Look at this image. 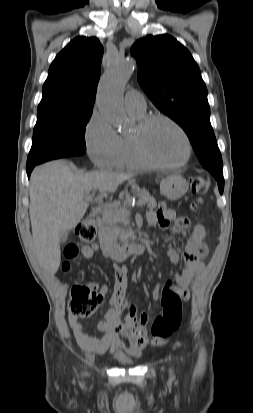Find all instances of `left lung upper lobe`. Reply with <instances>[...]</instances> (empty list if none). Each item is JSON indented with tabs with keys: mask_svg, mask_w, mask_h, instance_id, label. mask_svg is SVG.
<instances>
[{
	"mask_svg": "<svg viewBox=\"0 0 253 413\" xmlns=\"http://www.w3.org/2000/svg\"><path fill=\"white\" fill-rule=\"evenodd\" d=\"M138 81L155 106L188 135L203 167L223 172L210 123L207 88L190 52L170 35H148L131 48Z\"/></svg>",
	"mask_w": 253,
	"mask_h": 413,
	"instance_id": "5c2ea615",
	"label": "left lung upper lobe"
}]
</instances>
